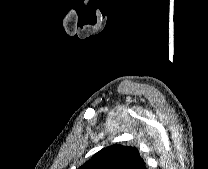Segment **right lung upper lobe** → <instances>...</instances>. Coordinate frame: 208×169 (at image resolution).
<instances>
[{
	"label": "right lung upper lobe",
	"mask_w": 208,
	"mask_h": 169,
	"mask_svg": "<svg viewBox=\"0 0 208 169\" xmlns=\"http://www.w3.org/2000/svg\"><path fill=\"white\" fill-rule=\"evenodd\" d=\"M78 169H147L136 147L110 145L92 156Z\"/></svg>",
	"instance_id": "cb5924a9"
}]
</instances>
